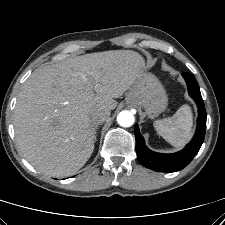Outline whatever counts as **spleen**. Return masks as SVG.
Wrapping results in <instances>:
<instances>
[{"label": "spleen", "instance_id": "obj_1", "mask_svg": "<svg viewBox=\"0 0 225 225\" xmlns=\"http://www.w3.org/2000/svg\"><path fill=\"white\" fill-rule=\"evenodd\" d=\"M193 116L188 105H182L172 117L154 122V128L174 147L183 146L191 136Z\"/></svg>", "mask_w": 225, "mask_h": 225}]
</instances>
